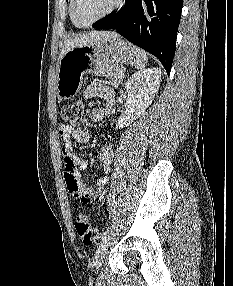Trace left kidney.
Wrapping results in <instances>:
<instances>
[{
  "instance_id": "obj_1",
  "label": "left kidney",
  "mask_w": 233,
  "mask_h": 286,
  "mask_svg": "<svg viewBox=\"0 0 233 286\" xmlns=\"http://www.w3.org/2000/svg\"><path fill=\"white\" fill-rule=\"evenodd\" d=\"M161 70L149 68L140 70L125 83L128 97L125 112L118 117L116 129L127 127L153 102L160 87Z\"/></svg>"
}]
</instances>
